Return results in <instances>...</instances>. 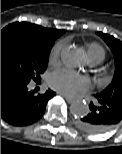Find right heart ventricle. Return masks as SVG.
<instances>
[{"label": "right heart ventricle", "mask_w": 122, "mask_h": 154, "mask_svg": "<svg viewBox=\"0 0 122 154\" xmlns=\"http://www.w3.org/2000/svg\"><path fill=\"white\" fill-rule=\"evenodd\" d=\"M88 60H96L99 63L105 58V50L97 43H90L86 46Z\"/></svg>", "instance_id": "obj_1"}]
</instances>
